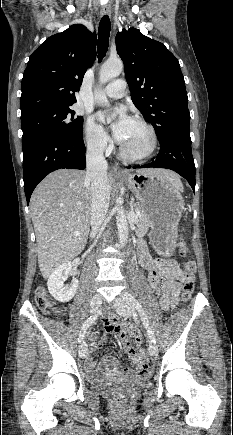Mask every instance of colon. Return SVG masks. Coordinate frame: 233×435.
I'll use <instances>...</instances> for the list:
<instances>
[{
	"label": "colon",
	"mask_w": 233,
	"mask_h": 435,
	"mask_svg": "<svg viewBox=\"0 0 233 435\" xmlns=\"http://www.w3.org/2000/svg\"><path fill=\"white\" fill-rule=\"evenodd\" d=\"M178 247L181 256H185L188 252L187 244L183 237L180 236L178 239ZM184 270L192 276L196 271V263L193 260H187L183 263ZM194 290V283L192 277H189L183 282L182 285V299L184 302H188L192 296ZM35 302L37 306L44 312H49L52 309V303L46 295L45 289L43 287H38L35 292ZM140 360L137 362V366H145L147 360V353L142 351L139 355ZM113 399L116 403L122 404L127 401V393L124 391H114L112 392Z\"/></svg>",
	"instance_id": "colon-1"
}]
</instances>
